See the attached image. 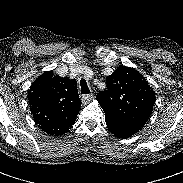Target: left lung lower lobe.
Here are the masks:
<instances>
[{"label":"left lung lower lobe","mask_w":183,"mask_h":183,"mask_svg":"<svg viewBox=\"0 0 183 183\" xmlns=\"http://www.w3.org/2000/svg\"><path fill=\"white\" fill-rule=\"evenodd\" d=\"M108 129L119 138H127L137 133L141 128L137 126L122 125L106 120Z\"/></svg>","instance_id":"obj_1"}]
</instances>
